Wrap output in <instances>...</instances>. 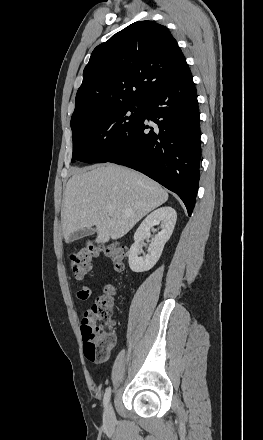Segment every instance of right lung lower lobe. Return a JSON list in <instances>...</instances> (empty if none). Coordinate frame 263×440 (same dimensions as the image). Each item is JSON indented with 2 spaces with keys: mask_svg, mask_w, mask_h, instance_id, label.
Instances as JSON below:
<instances>
[{
  "mask_svg": "<svg viewBox=\"0 0 263 440\" xmlns=\"http://www.w3.org/2000/svg\"><path fill=\"white\" fill-rule=\"evenodd\" d=\"M142 108L135 130L96 163L112 162L142 172L175 192L191 216L200 177L201 134L190 70L148 95Z\"/></svg>",
  "mask_w": 263,
  "mask_h": 440,
  "instance_id": "right-lung-lower-lobe-1",
  "label": "right lung lower lobe"
}]
</instances>
